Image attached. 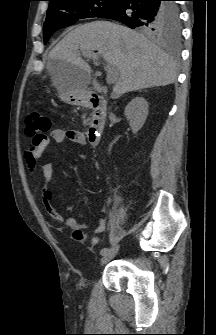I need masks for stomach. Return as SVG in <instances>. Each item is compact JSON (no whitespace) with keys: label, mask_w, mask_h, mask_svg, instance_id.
Wrapping results in <instances>:
<instances>
[{"label":"stomach","mask_w":216,"mask_h":335,"mask_svg":"<svg viewBox=\"0 0 216 335\" xmlns=\"http://www.w3.org/2000/svg\"><path fill=\"white\" fill-rule=\"evenodd\" d=\"M57 87L59 91V97L62 101L70 105H77L80 103L83 92L79 89H73L66 81L64 77H61L57 81Z\"/></svg>","instance_id":"stomach-1"}]
</instances>
